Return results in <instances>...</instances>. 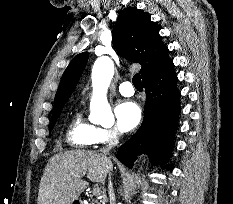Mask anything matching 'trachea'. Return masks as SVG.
<instances>
[{
  "label": "trachea",
  "mask_w": 233,
  "mask_h": 204,
  "mask_svg": "<svg viewBox=\"0 0 233 204\" xmlns=\"http://www.w3.org/2000/svg\"><path fill=\"white\" fill-rule=\"evenodd\" d=\"M132 83L136 89H143V85H142L141 77L139 73L133 76Z\"/></svg>",
  "instance_id": "3493384b"
}]
</instances>
